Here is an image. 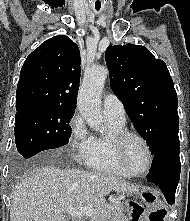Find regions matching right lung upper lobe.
I'll return each instance as SVG.
<instances>
[{
	"mask_svg": "<svg viewBox=\"0 0 190 221\" xmlns=\"http://www.w3.org/2000/svg\"><path fill=\"white\" fill-rule=\"evenodd\" d=\"M80 82V51L65 35L35 49L23 64L16 92V110L32 107L75 109Z\"/></svg>",
	"mask_w": 190,
	"mask_h": 221,
	"instance_id": "cb5924a9",
	"label": "right lung upper lobe"
}]
</instances>
